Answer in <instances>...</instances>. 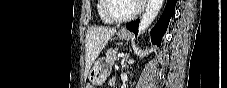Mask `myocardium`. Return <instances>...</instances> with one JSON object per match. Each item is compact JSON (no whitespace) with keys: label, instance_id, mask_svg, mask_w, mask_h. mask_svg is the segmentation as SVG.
I'll return each instance as SVG.
<instances>
[{"label":"myocardium","instance_id":"obj_1","mask_svg":"<svg viewBox=\"0 0 227 88\" xmlns=\"http://www.w3.org/2000/svg\"><path fill=\"white\" fill-rule=\"evenodd\" d=\"M109 3H110V0H103L102 12H103L104 16L108 19V21L110 23L123 24V23L129 22V21L135 19L143 10V5L142 4H137V8L130 15H128V16H126L124 18H114V17H112L110 15V13L108 11Z\"/></svg>","mask_w":227,"mask_h":88}]
</instances>
